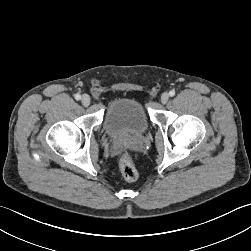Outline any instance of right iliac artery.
I'll list each match as a JSON object with an SVG mask.
<instances>
[{
    "instance_id": "right-iliac-artery-1",
    "label": "right iliac artery",
    "mask_w": 251,
    "mask_h": 251,
    "mask_svg": "<svg viewBox=\"0 0 251 251\" xmlns=\"http://www.w3.org/2000/svg\"><path fill=\"white\" fill-rule=\"evenodd\" d=\"M74 97H75L76 100H80L81 99V95L80 94H76Z\"/></svg>"
}]
</instances>
